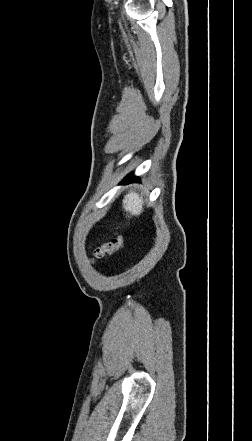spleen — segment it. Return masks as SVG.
<instances>
[{
  "instance_id": "1",
  "label": "spleen",
  "mask_w": 252,
  "mask_h": 441,
  "mask_svg": "<svg viewBox=\"0 0 252 441\" xmlns=\"http://www.w3.org/2000/svg\"><path fill=\"white\" fill-rule=\"evenodd\" d=\"M143 205L144 200L142 195H139L135 191H130L123 199V209L129 213L130 216L140 215L143 211Z\"/></svg>"
}]
</instances>
